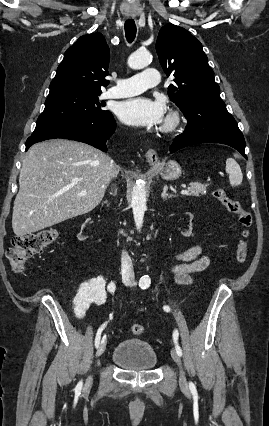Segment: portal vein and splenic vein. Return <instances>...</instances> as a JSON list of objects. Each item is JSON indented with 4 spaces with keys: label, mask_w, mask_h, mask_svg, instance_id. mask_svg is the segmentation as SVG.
<instances>
[{
    "label": "portal vein and splenic vein",
    "mask_w": 269,
    "mask_h": 426,
    "mask_svg": "<svg viewBox=\"0 0 269 426\" xmlns=\"http://www.w3.org/2000/svg\"><path fill=\"white\" fill-rule=\"evenodd\" d=\"M87 194L86 191H82L81 193H79V196H85ZM181 194H188V190H182Z\"/></svg>",
    "instance_id": "obj_1"
}]
</instances>
